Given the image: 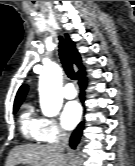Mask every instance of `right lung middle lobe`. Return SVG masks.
<instances>
[{"instance_id": "obj_1", "label": "right lung middle lobe", "mask_w": 135, "mask_h": 166, "mask_svg": "<svg viewBox=\"0 0 135 166\" xmlns=\"http://www.w3.org/2000/svg\"><path fill=\"white\" fill-rule=\"evenodd\" d=\"M18 108H19V106H15L14 109H13V113H16Z\"/></svg>"}]
</instances>
